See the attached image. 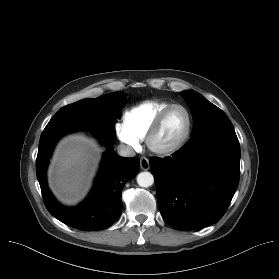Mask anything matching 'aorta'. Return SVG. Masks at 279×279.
Returning <instances> with one entry per match:
<instances>
[{
	"label": "aorta",
	"mask_w": 279,
	"mask_h": 279,
	"mask_svg": "<svg viewBox=\"0 0 279 279\" xmlns=\"http://www.w3.org/2000/svg\"><path fill=\"white\" fill-rule=\"evenodd\" d=\"M137 183L144 188L150 187L154 183V177L150 172H141L137 175Z\"/></svg>",
	"instance_id": "1"
}]
</instances>
